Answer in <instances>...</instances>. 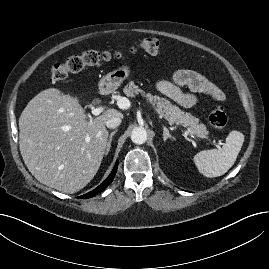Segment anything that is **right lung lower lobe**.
Listing matches in <instances>:
<instances>
[{
	"label": "right lung lower lobe",
	"instance_id": "right-lung-lower-lobe-1",
	"mask_svg": "<svg viewBox=\"0 0 269 269\" xmlns=\"http://www.w3.org/2000/svg\"><path fill=\"white\" fill-rule=\"evenodd\" d=\"M117 168H118V161H116L115 167L112 170L111 174L108 176V178L101 185H99L97 188H95L91 192L84 194L78 198H81V199L90 198V197H93V196L97 195L98 193L102 192L103 190H105L107 188V186L112 182V180L116 174Z\"/></svg>",
	"mask_w": 269,
	"mask_h": 269
}]
</instances>
